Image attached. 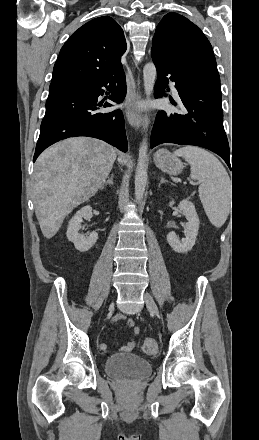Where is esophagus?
I'll list each match as a JSON object with an SVG mask.
<instances>
[{"label":"esophagus","instance_id":"obj_1","mask_svg":"<svg viewBox=\"0 0 259 440\" xmlns=\"http://www.w3.org/2000/svg\"><path fill=\"white\" fill-rule=\"evenodd\" d=\"M140 98V80L129 81L125 100V113L129 124L136 129H140L143 126L142 114L136 106Z\"/></svg>","mask_w":259,"mask_h":440}]
</instances>
